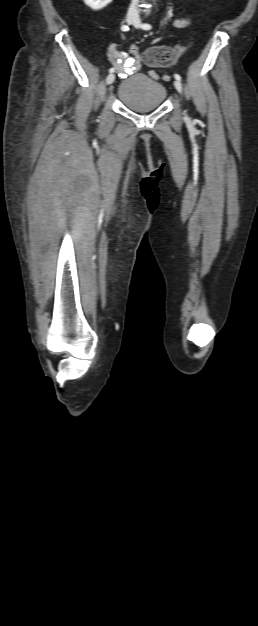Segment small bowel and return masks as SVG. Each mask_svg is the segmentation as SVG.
<instances>
[{
  "mask_svg": "<svg viewBox=\"0 0 258 626\" xmlns=\"http://www.w3.org/2000/svg\"><path fill=\"white\" fill-rule=\"evenodd\" d=\"M190 24V20L188 18H179L174 21V26L176 28H184ZM108 58L109 60L116 66L118 70H126L130 68V60L131 58L124 52H122L116 45L111 44L108 48ZM150 76L154 79H159V75L155 71H150ZM164 80H169L167 75L163 76Z\"/></svg>",
  "mask_w": 258,
  "mask_h": 626,
  "instance_id": "obj_1",
  "label": "small bowel"
}]
</instances>
